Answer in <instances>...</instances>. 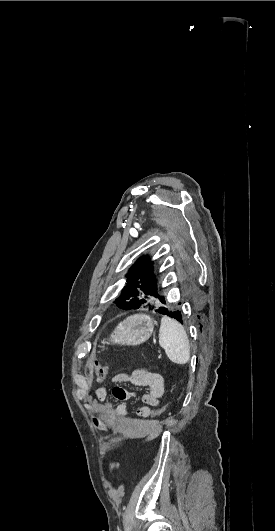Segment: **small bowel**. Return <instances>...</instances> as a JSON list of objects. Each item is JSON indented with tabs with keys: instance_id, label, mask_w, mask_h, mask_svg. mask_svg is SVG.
Returning a JSON list of instances; mask_svg holds the SVG:
<instances>
[{
	"instance_id": "1",
	"label": "small bowel",
	"mask_w": 275,
	"mask_h": 531,
	"mask_svg": "<svg viewBox=\"0 0 275 531\" xmlns=\"http://www.w3.org/2000/svg\"><path fill=\"white\" fill-rule=\"evenodd\" d=\"M114 384L130 383L137 387H143L146 392L142 395V405L138 407L136 416L138 419L146 420L151 417L153 407L159 404V401L164 393L165 379L164 376L158 372H152L143 368L134 370L131 374L125 372L115 373L111 378ZM134 392H126V400L134 396ZM96 398L104 402L101 407V415L94 417L93 422L95 426L101 430L111 431V419L122 418L128 411L126 403H121L115 407L110 402H105L109 396V390L105 386L98 387L95 392ZM121 455L118 454L116 460L109 462L110 472L118 469Z\"/></svg>"
}]
</instances>
